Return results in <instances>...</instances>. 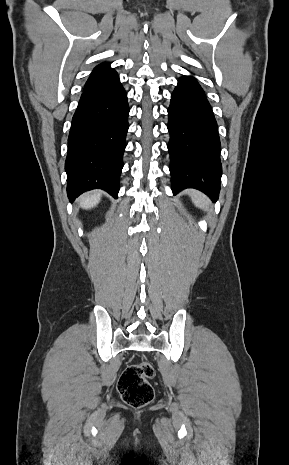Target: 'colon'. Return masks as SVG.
Instances as JSON below:
<instances>
[{
    "mask_svg": "<svg viewBox=\"0 0 289 465\" xmlns=\"http://www.w3.org/2000/svg\"><path fill=\"white\" fill-rule=\"evenodd\" d=\"M153 376L154 368L149 362L128 366L121 374L117 385L123 401L135 408L149 404L154 397L153 387L149 382Z\"/></svg>",
    "mask_w": 289,
    "mask_h": 465,
    "instance_id": "5ec220e1",
    "label": "colon"
}]
</instances>
